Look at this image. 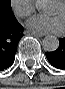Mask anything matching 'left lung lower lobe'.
I'll return each instance as SVG.
<instances>
[{
	"mask_svg": "<svg viewBox=\"0 0 65 89\" xmlns=\"http://www.w3.org/2000/svg\"><path fill=\"white\" fill-rule=\"evenodd\" d=\"M51 65L58 69L65 70V37L59 40V47L56 51L46 53Z\"/></svg>",
	"mask_w": 65,
	"mask_h": 89,
	"instance_id": "obj_1",
	"label": "left lung lower lobe"
}]
</instances>
